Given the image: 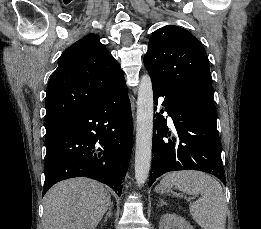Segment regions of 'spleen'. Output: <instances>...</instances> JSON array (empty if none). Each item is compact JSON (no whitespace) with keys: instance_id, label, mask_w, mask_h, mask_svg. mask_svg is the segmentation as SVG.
Returning <instances> with one entry per match:
<instances>
[{"instance_id":"obj_1","label":"spleen","mask_w":261,"mask_h":229,"mask_svg":"<svg viewBox=\"0 0 261 229\" xmlns=\"http://www.w3.org/2000/svg\"><path fill=\"white\" fill-rule=\"evenodd\" d=\"M162 183L176 185L187 195H201L199 201L191 203L192 219L202 229H225L227 203L222 187L214 177L202 171H171L166 173Z\"/></svg>"}]
</instances>
